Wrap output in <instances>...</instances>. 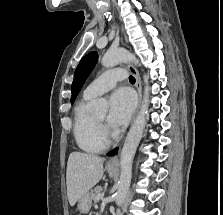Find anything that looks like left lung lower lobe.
<instances>
[{
    "mask_svg": "<svg viewBox=\"0 0 223 215\" xmlns=\"http://www.w3.org/2000/svg\"><path fill=\"white\" fill-rule=\"evenodd\" d=\"M118 148H115L114 150L110 151L107 155L108 156H114L117 154Z\"/></svg>",
    "mask_w": 223,
    "mask_h": 215,
    "instance_id": "left-lung-lower-lobe-1",
    "label": "left lung lower lobe"
}]
</instances>
